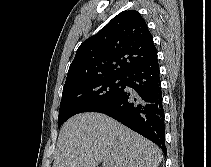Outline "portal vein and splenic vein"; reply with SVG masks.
Listing matches in <instances>:
<instances>
[{
  "mask_svg": "<svg viewBox=\"0 0 211 167\" xmlns=\"http://www.w3.org/2000/svg\"><path fill=\"white\" fill-rule=\"evenodd\" d=\"M103 167H109V163L107 161H103Z\"/></svg>",
  "mask_w": 211,
  "mask_h": 167,
  "instance_id": "obj_1",
  "label": "portal vein and splenic vein"
}]
</instances>
